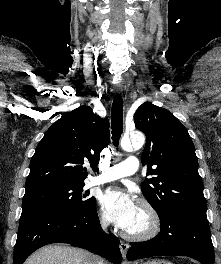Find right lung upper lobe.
<instances>
[{"mask_svg":"<svg viewBox=\"0 0 221 264\" xmlns=\"http://www.w3.org/2000/svg\"><path fill=\"white\" fill-rule=\"evenodd\" d=\"M110 139L109 121L88 106L65 113L45 133L30 162L25 189L55 183H84L85 165L95 168Z\"/></svg>","mask_w":221,"mask_h":264,"instance_id":"right-lung-upper-lobe-1","label":"right lung upper lobe"}]
</instances>
